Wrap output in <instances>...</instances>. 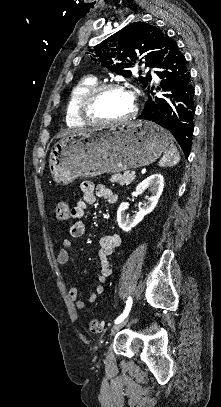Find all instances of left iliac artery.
<instances>
[{"mask_svg":"<svg viewBox=\"0 0 221 407\" xmlns=\"http://www.w3.org/2000/svg\"><path fill=\"white\" fill-rule=\"evenodd\" d=\"M131 307H132V298H131V297H128V300H127V302H126L125 310H124V312H123L120 316H118V317L116 318L115 324L120 323L121 321H123V320L128 316V314H129V312H130V310H131Z\"/></svg>","mask_w":221,"mask_h":407,"instance_id":"1","label":"left iliac artery"}]
</instances>
